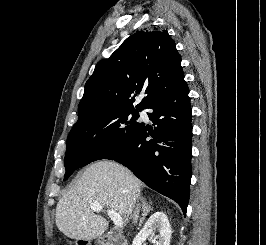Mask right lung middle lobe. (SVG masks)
<instances>
[{"label": "right lung middle lobe", "instance_id": "dd1d6c3e", "mask_svg": "<svg viewBox=\"0 0 266 245\" xmlns=\"http://www.w3.org/2000/svg\"><path fill=\"white\" fill-rule=\"evenodd\" d=\"M138 110L117 107L80 118L67 139L66 180L76 169L124 148L139 129Z\"/></svg>", "mask_w": 266, "mask_h": 245}]
</instances>
